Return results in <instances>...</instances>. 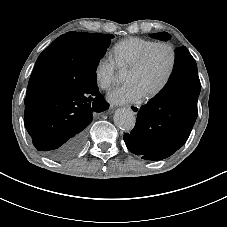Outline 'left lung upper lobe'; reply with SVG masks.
I'll list each match as a JSON object with an SVG mask.
<instances>
[{
	"label": "left lung upper lobe",
	"instance_id": "obj_1",
	"mask_svg": "<svg viewBox=\"0 0 227 227\" xmlns=\"http://www.w3.org/2000/svg\"><path fill=\"white\" fill-rule=\"evenodd\" d=\"M152 37L160 40H168L170 38V35L166 32H160V33L153 34Z\"/></svg>",
	"mask_w": 227,
	"mask_h": 227
}]
</instances>
